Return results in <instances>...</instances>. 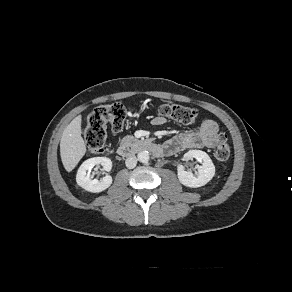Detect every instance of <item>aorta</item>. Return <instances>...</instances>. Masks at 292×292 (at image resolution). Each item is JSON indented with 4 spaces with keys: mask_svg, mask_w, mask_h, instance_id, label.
Listing matches in <instances>:
<instances>
[{
    "mask_svg": "<svg viewBox=\"0 0 292 292\" xmlns=\"http://www.w3.org/2000/svg\"><path fill=\"white\" fill-rule=\"evenodd\" d=\"M137 157L141 163H147L149 161V158H150L149 152L146 150L140 151L138 153Z\"/></svg>",
    "mask_w": 292,
    "mask_h": 292,
    "instance_id": "aorta-1",
    "label": "aorta"
}]
</instances>
